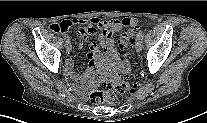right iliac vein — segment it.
Instances as JSON below:
<instances>
[{
	"label": "right iliac vein",
	"mask_w": 207,
	"mask_h": 123,
	"mask_svg": "<svg viewBox=\"0 0 207 123\" xmlns=\"http://www.w3.org/2000/svg\"><path fill=\"white\" fill-rule=\"evenodd\" d=\"M71 43H70V41H66V43H65V49H66V51L69 53L70 51H71Z\"/></svg>",
	"instance_id": "right-iliac-vein-1"
}]
</instances>
